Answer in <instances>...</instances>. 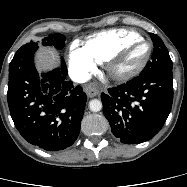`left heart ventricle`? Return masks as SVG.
Masks as SVG:
<instances>
[{
	"label": "left heart ventricle",
	"mask_w": 187,
	"mask_h": 187,
	"mask_svg": "<svg viewBox=\"0 0 187 187\" xmlns=\"http://www.w3.org/2000/svg\"><path fill=\"white\" fill-rule=\"evenodd\" d=\"M147 51L148 45L145 42H139L135 44L115 65V70L119 73H123L134 69L143 61Z\"/></svg>",
	"instance_id": "b2bd125f"
}]
</instances>
